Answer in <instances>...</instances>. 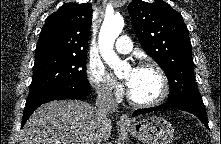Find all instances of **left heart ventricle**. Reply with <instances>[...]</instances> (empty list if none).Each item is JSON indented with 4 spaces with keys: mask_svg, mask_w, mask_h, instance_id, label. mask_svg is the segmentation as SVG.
<instances>
[{
    "mask_svg": "<svg viewBox=\"0 0 221 144\" xmlns=\"http://www.w3.org/2000/svg\"><path fill=\"white\" fill-rule=\"evenodd\" d=\"M125 77L126 79L132 78L129 90L138 101H151L160 94L161 80L153 69L128 70Z\"/></svg>",
    "mask_w": 221,
    "mask_h": 144,
    "instance_id": "b2bd125f",
    "label": "left heart ventricle"
}]
</instances>
